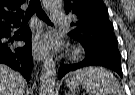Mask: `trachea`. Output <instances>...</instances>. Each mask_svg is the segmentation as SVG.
<instances>
[{
  "label": "trachea",
  "instance_id": "1",
  "mask_svg": "<svg viewBox=\"0 0 135 95\" xmlns=\"http://www.w3.org/2000/svg\"><path fill=\"white\" fill-rule=\"evenodd\" d=\"M34 13H36L37 16L47 24L53 25L49 17L47 16V14L42 9L40 0H31L29 2V6L28 9L26 10V15L23 18L21 26H26L27 22L29 21V19Z\"/></svg>",
  "mask_w": 135,
  "mask_h": 95
}]
</instances>
